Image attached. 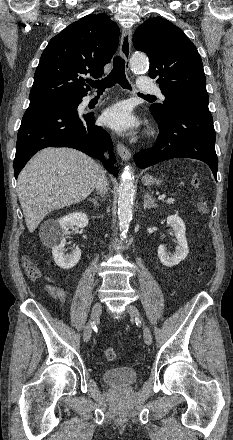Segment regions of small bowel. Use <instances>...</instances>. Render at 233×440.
I'll list each match as a JSON object with an SVG mask.
<instances>
[{
  "label": "small bowel",
  "instance_id": "1",
  "mask_svg": "<svg viewBox=\"0 0 233 440\" xmlns=\"http://www.w3.org/2000/svg\"><path fill=\"white\" fill-rule=\"evenodd\" d=\"M44 290L53 298L57 299L61 303H64L66 300V293L62 288L55 287L52 285H46Z\"/></svg>",
  "mask_w": 233,
  "mask_h": 440
}]
</instances>
